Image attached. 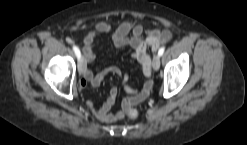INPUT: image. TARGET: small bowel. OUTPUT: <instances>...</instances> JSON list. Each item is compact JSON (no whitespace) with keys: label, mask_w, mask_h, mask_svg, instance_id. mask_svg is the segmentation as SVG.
Instances as JSON below:
<instances>
[{"label":"small bowel","mask_w":247,"mask_h":145,"mask_svg":"<svg viewBox=\"0 0 247 145\" xmlns=\"http://www.w3.org/2000/svg\"><path fill=\"white\" fill-rule=\"evenodd\" d=\"M105 33H111L115 47H130L132 49L133 58L139 63L143 75L147 78L142 88L136 90L129 82V75L115 66L100 69L96 73H93L90 69H86L84 78L80 82L81 90H84L88 84L94 87L99 86L107 75H116L122 81L127 97L123 100L120 110L110 112L118 95V89L116 87L110 89L107 99L100 108H94L90 104L97 119L112 123L123 119L127 108L143 102L150 94L153 81L151 79V58L148 49L157 50L163 43L171 39L172 33L168 29L145 31L143 26L135 21H124L115 30H112L110 24L99 21L95 24L94 29L86 35L84 40L83 56L86 63L95 60V39L99 34Z\"/></svg>","instance_id":"1"}]
</instances>
